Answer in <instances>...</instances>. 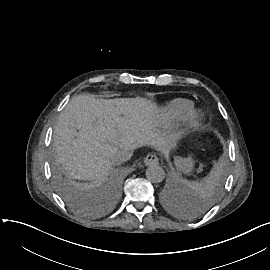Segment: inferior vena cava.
Listing matches in <instances>:
<instances>
[{
    "label": "inferior vena cava",
    "mask_w": 270,
    "mask_h": 270,
    "mask_svg": "<svg viewBox=\"0 0 270 270\" xmlns=\"http://www.w3.org/2000/svg\"><path fill=\"white\" fill-rule=\"evenodd\" d=\"M133 155V151L131 150H119L116 153L115 158L117 159L118 163L126 162L131 159V156Z\"/></svg>",
    "instance_id": "1"
}]
</instances>
